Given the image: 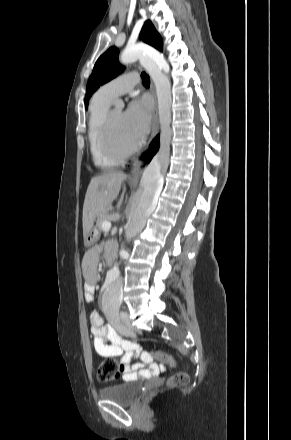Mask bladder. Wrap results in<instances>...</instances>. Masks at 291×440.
<instances>
[{"instance_id":"bladder-1","label":"bladder","mask_w":291,"mask_h":440,"mask_svg":"<svg viewBox=\"0 0 291 440\" xmlns=\"http://www.w3.org/2000/svg\"><path fill=\"white\" fill-rule=\"evenodd\" d=\"M140 393L141 387L134 382L106 386L99 392L102 399L122 405L133 403Z\"/></svg>"}]
</instances>
